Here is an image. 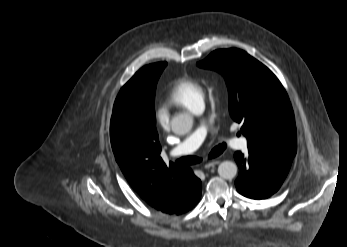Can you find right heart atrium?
<instances>
[{"label": "right heart atrium", "mask_w": 347, "mask_h": 247, "mask_svg": "<svg viewBox=\"0 0 347 247\" xmlns=\"http://www.w3.org/2000/svg\"><path fill=\"white\" fill-rule=\"evenodd\" d=\"M156 122H157L158 126L163 130H168L170 128V125H171L170 116L163 109L157 110Z\"/></svg>", "instance_id": "right-heart-atrium-1"}]
</instances>
